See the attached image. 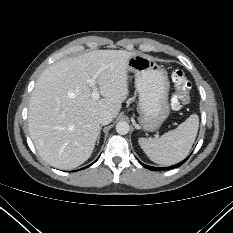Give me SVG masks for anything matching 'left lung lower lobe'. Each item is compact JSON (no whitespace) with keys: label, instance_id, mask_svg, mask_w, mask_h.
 <instances>
[{"label":"left lung lower lobe","instance_id":"obj_1","mask_svg":"<svg viewBox=\"0 0 233 233\" xmlns=\"http://www.w3.org/2000/svg\"><path fill=\"white\" fill-rule=\"evenodd\" d=\"M186 160H187V158H186L184 161H182V162H180V163H178V164H176V165H173V166H170V167H166V168L152 167V166H148V165L142 164L141 162H140V163H141L144 167L148 168L149 170L157 171V170H161V169L166 170V169H171V168H177V167L181 166Z\"/></svg>","mask_w":233,"mask_h":233}]
</instances>
